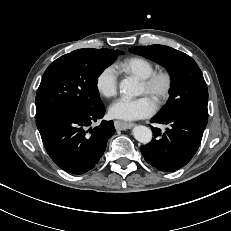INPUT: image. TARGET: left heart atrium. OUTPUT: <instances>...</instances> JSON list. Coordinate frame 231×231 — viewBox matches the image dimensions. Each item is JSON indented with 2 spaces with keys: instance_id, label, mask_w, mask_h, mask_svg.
Returning a JSON list of instances; mask_svg holds the SVG:
<instances>
[{
  "instance_id": "39dd6f15",
  "label": "left heart atrium",
  "mask_w": 231,
  "mask_h": 231,
  "mask_svg": "<svg viewBox=\"0 0 231 231\" xmlns=\"http://www.w3.org/2000/svg\"><path fill=\"white\" fill-rule=\"evenodd\" d=\"M155 108L154 101L146 96L121 97L111 104L109 113L116 119L136 120L152 115Z\"/></svg>"
}]
</instances>
